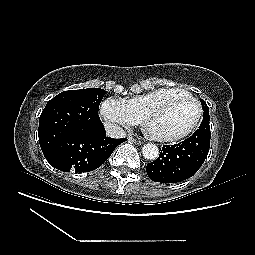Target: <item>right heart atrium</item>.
<instances>
[{
  "label": "right heart atrium",
  "instance_id": "1",
  "mask_svg": "<svg viewBox=\"0 0 255 255\" xmlns=\"http://www.w3.org/2000/svg\"><path fill=\"white\" fill-rule=\"evenodd\" d=\"M100 110L105 125L115 132L134 126L141 121L125 100L116 97L106 98L102 102Z\"/></svg>",
  "mask_w": 255,
  "mask_h": 255
}]
</instances>
